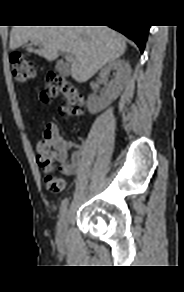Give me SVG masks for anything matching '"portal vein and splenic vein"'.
Here are the masks:
<instances>
[{
	"instance_id": "18ae733b",
	"label": "portal vein and splenic vein",
	"mask_w": 184,
	"mask_h": 292,
	"mask_svg": "<svg viewBox=\"0 0 184 292\" xmlns=\"http://www.w3.org/2000/svg\"><path fill=\"white\" fill-rule=\"evenodd\" d=\"M65 59L66 61L71 62L73 60V56L70 53H67Z\"/></svg>"
}]
</instances>
